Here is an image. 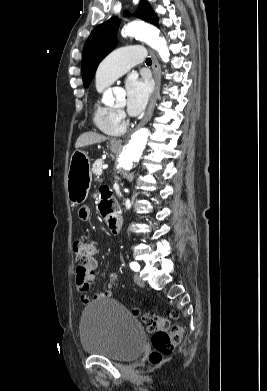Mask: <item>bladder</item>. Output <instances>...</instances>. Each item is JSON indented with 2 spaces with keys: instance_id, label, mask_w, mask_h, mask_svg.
Instances as JSON below:
<instances>
[{
  "instance_id": "31cf9c89",
  "label": "bladder",
  "mask_w": 267,
  "mask_h": 391,
  "mask_svg": "<svg viewBox=\"0 0 267 391\" xmlns=\"http://www.w3.org/2000/svg\"><path fill=\"white\" fill-rule=\"evenodd\" d=\"M80 341L89 355L126 362L137 358L145 344V332L138 320L113 299L87 307L81 318Z\"/></svg>"
}]
</instances>
